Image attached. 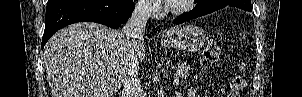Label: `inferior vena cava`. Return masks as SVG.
<instances>
[{"label":"inferior vena cava","instance_id":"602c4592","mask_svg":"<svg viewBox=\"0 0 302 97\" xmlns=\"http://www.w3.org/2000/svg\"><path fill=\"white\" fill-rule=\"evenodd\" d=\"M152 12V1L141 0L135 5L131 17L121 30V37L125 39L129 48L130 61L126 67L123 79L124 97H144V91L140 85L139 62L136 49L143 39L147 21Z\"/></svg>","mask_w":302,"mask_h":97}]
</instances>
